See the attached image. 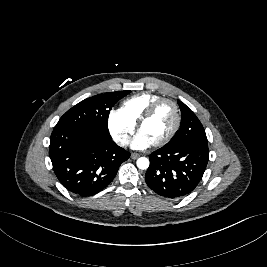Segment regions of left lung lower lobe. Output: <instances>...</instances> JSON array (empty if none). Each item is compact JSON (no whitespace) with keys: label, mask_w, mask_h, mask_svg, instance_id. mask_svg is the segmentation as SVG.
I'll list each match as a JSON object with an SVG mask.
<instances>
[{"label":"left lung lower lobe","mask_w":267,"mask_h":267,"mask_svg":"<svg viewBox=\"0 0 267 267\" xmlns=\"http://www.w3.org/2000/svg\"><path fill=\"white\" fill-rule=\"evenodd\" d=\"M208 145L184 143L164 146L149 155L146 184L158 195L178 199L191 193L204 174Z\"/></svg>","instance_id":"0a47b994"}]
</instances>
